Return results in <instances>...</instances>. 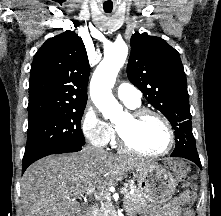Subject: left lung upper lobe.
<instances>
[{"instance_id": "obj_1", "label": "left lung upper lobe", "mask_w": 221, "mask_h": 216, "mask_svg": "<svg viewBox=\"0 0 221 216\" xmlns=\"http://www.w3.org/2000/svg\"><path fill=\"white\" fill-rule=\"evenodd\" d=\"M127 76L148 102L170 121L175 129L176 145L190 146L197 152L186 74L179 53L160 37L136 32L131 37Z\"/></svg>"}]
</instances>
